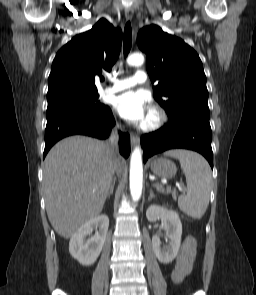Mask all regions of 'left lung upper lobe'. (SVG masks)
I'll list each match as a JSON object with an SVG mask.
<instances>
[{"label": "left lung upper lobe", "instance_id": "1", "mask_svg": "<svg viewBox=\"0 0 256 295\" xmlns=\"http://www.w3.org/2000/svg\"><path fill=\"white\" fill-rule=\"evenodd\" d=\"M139 48L146 53V68L155 100L165 109L168 121L183 115L209 119L206 76L198 54L182 39L159 26L141 29Z\"/></svg>", "mask_w": 256, "mask_h": 295}]
</instances>
